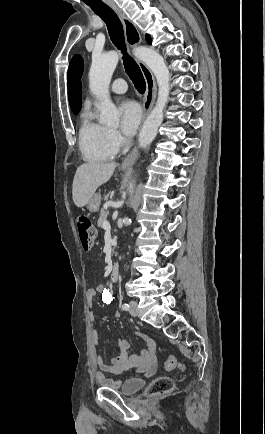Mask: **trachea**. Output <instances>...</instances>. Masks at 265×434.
Returning a JSON list of instances; mask_svg holds the SVG:
<instances>
[{
	"label": "trachea",
	"mask_w": 265,
	"mask_h": 434,
	"mask_svg": "<svg viewBox=\"0 0 265 434\" xmlns=\"http://www.w3.org/2000/svg\"><path fill=\"white\" fill-rule=\"evenodd\" d=\"M86 5H89L93 12L101 17L106 23L112 42L123 53L122 58L126 73L132 80L138 92L144 93L146 90V83L143 74L139 68V65L126 52L123 26L116 13L112 10V8L108 7V5H105V3H87Z\"/></svg>",
	"instance_id": "trachea-1"
}]
</instances>
